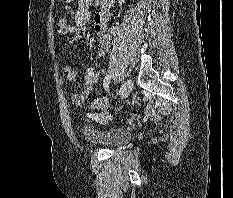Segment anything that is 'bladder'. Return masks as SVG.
<instances>
[{"label":"bladder","mask_w":233,"mask_h":198,"mask_svg":"<svg viewBox=\"0 0 233 198\" xmlns=\"http://www.w3.org/2000/svg\"><path fill=\"white\" fill-rule=\"evenodd\" d=\"M85 133L92 142L111 149L125 145L130 141L132 136L131 132L123 127H116L106 130L86 127Z\"/></svg>","instance_id":"bladder-1"}]
</instances>
